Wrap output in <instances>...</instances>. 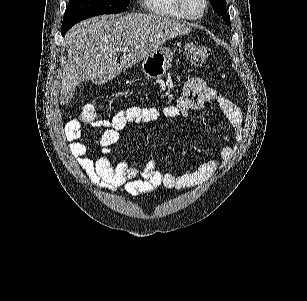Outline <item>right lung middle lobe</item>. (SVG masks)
I'll return each instance as SVG.
<instances>
[{"label":"right lung middle lobe","instance_id":"obj_1","mask_svg":"<svg viewBox=\"0 0 307 301\" xmlns=\"http://www.w3.org/2000/svg\"><path fill=\"white\" fill-rule=\"evenodd\" d=\"M129 0H69L64 15L62 36L79 21L101 14L120 13L127 10Z\"/></svg>","mask_w":307,"mask_h":301}]
</instances>
